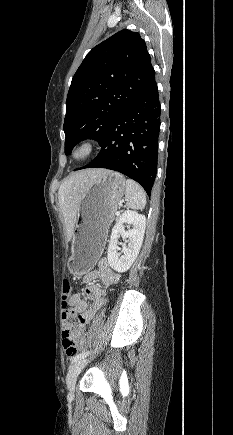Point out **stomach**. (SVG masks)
Returning <instances> with one entry per match:
<instances>
[{
  "mask_svg": "<svg viewBox=\"0 0 233 435\" xmlns=\"http://www.w3.org/2000/svg\"><path fill=\"white\" fill-rule=\"evenodd\" d=\"M125 188L124 176L109 171L96 179L85 192L79 206L68 260V269L74 276L85 275L96 264Z\"/></svg>",
  "mask_w": 233,
  "mask_h": 435,
  "instance_id": "obj_1",
  "label": "stomach"
}]
</instances>
